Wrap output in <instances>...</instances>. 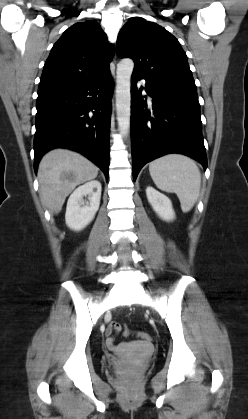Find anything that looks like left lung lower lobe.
Returning a JSON list of instances; mask_svg holds the SVG:
<instances>
[{
    "instance_id": "1",
    "label": "left lung lower lobe",
    "mask_w": 248,
    "mask_h": 419,
    "mask_svg": "<svg viewBox=\"0 0 248 419\" xmlns=\"http://www.w3.org/2000/svg\"><path fill=\"white\" fill-rule=\"evenodd\" d=\"M146 80L148 104L137 88ZM146 98V96H145ZM131 151L133 179L148 162L168 153H181L207 167L197 91L169 88L155 80L132 73Z\"/></svg>"
}]
</instances>
